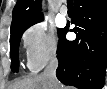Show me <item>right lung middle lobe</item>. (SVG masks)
Instances as JSON below:
<instances>
[{"label":"right lung middle lobe","mask_w":107,"mask_h":89,"mask_svg":"<svg viewBox=\"0 0 107 89\" xmlns=\"http://www.w3.org/2000/svg\"><path fill=\"white\" fill-rule=\"evenodd\" d=\"M42 21V19L33 21L15 28H11V36H10V54H11V70L13 72H18L19 69V43L23 32L32 26L33 24ZM61 29H58V34Z\"/></svg>","instance_id":"dd1d6c3e"}]
</instances>
